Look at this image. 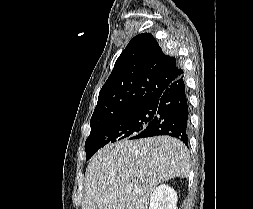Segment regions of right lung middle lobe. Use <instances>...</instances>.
Wrapping results in <instances>:
<instances>
[{"label":"right lung middle lobe","instance_id":"dd1d6c3e","mask_svg":"<svg viewBox=\"0 0 253 209\" xmlns=\"http://www.w3.org/2000/svg\"><path fill=\"white\" fill-rule=\"evenodd\" d=\"M154 116L155 112L150 105H142L114 116L91 120V132L85 142L87 160L108 143L134 139Z\"/></svg>","mask_w":253,"mask_h":209}]
</instances>
